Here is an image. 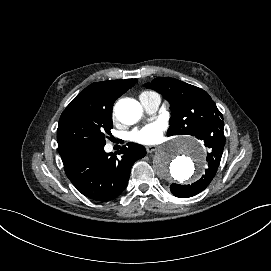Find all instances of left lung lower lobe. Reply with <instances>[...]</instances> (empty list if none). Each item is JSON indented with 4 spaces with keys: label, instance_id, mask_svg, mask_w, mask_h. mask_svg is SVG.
Instances as JSON below:
<instances>
[{
    "label": "left lung lower lobe",
    "instance_id": "0a47b994",
    "mask_svg": "<svg viewBox=\"0 0 271 271\" xmlns=\"http://www.w3.org/2000/svg\"><path fill=\"white\" fill-rule=\"evenodd\" d=\"M217 132H221V130H217ZM204 143L209 149L206 158L208 161V168L205 170V174L201 177V179L191 185L172 184L170 186V190L173 195L180 198L194 196L203 191L216 175L221 161L225 139H223V135L217 134L216 136H213V139L211 140H204Z\"/></svg>",
    "mask_w": 271,
    "mask_h": 271
}]
</instances>
